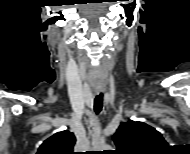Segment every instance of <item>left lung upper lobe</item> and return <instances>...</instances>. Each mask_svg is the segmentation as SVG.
Masks as SVG:
<instances>
[{
    "mask_svg": "<svg viewBox=\"0 0 190 154\" xmlns=\"http://www.w3.org/2000/svg\"><path fill=\"white\" fill-rule=\"evenodd\" d=\"M113 139L118 154H160L168 147L155 128L132 120L121 123Z\"/></svg>",
    "mask_w": 190,
    "mask_h": 154,
    "instance_id": "obj_1",
    "label": "left lung upper lobe"
}]
</instances>
